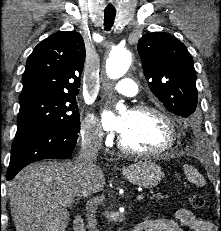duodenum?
I'll use <instances>...</instances> for the list:
<instances>
[{
	"label": "duodenum",
	"instance_id": "duodenum-1",
	"mask_svg": "<svg viewBox=\"0 0 221 231\" xmlns=\"http://www.w3.org/2000/svg\"><path fill=\"white\" fill-rule=\"evenodd\" d=\"M74 231H85L84 220L81 216H77L73 222ZM131 231H139L136 226Z\"/></svg>",
	"mask_w": 221,
	"mask_h": 231
}]
</instances>
